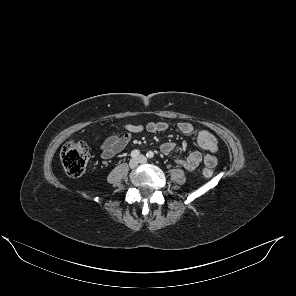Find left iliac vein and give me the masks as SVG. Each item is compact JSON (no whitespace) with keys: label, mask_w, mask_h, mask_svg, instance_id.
Masks as SVG:
<instances>
[{"label":"left iliac vein","mask_w":296,"mask_h":296,"mask_svg":"<svg viewBox=\"0 0 296 296\" xmlns=\"http://www.w3.org/2000/svg\"><path fill=\"white\" fill-rule=\"evenodd\" d=\"M138 160H139L140 163H146V162H147L146 157L143 156V155H140V156L138 157Z\"/></svg>","instance_id":"obj_1"}]
</instances>
